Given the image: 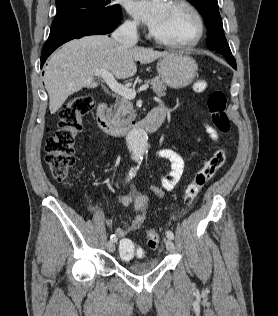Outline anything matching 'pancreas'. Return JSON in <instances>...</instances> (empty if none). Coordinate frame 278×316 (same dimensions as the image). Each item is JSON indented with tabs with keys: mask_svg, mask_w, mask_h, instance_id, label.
<instances>
[{
	"mask_svg": "<svg viewBox=\"0 0 278 316\" xmlns=\"http://www.w3.org/2000/svg\"><path fill=\"white\" fill-rule=\"evenodd\" d=\"M145 83L151 85L153 92L158 97L166 95L165 91L167 88L159 78L147 80ZM134 115L133 103L123 97L116 100L114 109L109 112V119L114 126L122 127L127 125L133 119Z\"/></svg>",
	"mask_w": 278,
	"mask_h": 316,
	"instance_id": "1",
	"label": "pancreas"
}]
</instances>
